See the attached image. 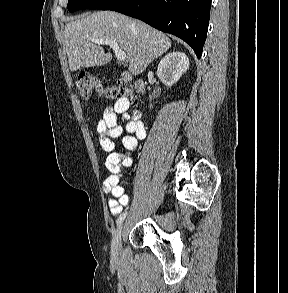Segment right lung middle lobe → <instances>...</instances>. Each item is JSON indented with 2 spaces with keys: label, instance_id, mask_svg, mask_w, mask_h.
Segmentation results:
<instances>
[{
  "label": "right lung middle lobe",
  "instance_id": "right-lung-middle-lobe-1",
  "mask_svg": "<svg viewBox=\"0 0 288 293\" xmlns=\"http://www.w3.org/2000/svg\"><path fill=\"white\" fill-rule=\"evenodd\" d=\"M123 0H69L68 10L75 12L80 9L109 10Z\"/></svg>",
  "mask_w": 288,
  "mask_h": 293
}]
</instances>
